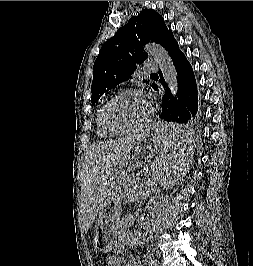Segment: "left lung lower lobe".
I'll use <instances>...</instances> for the list:
<instances>
[{
  "label": "left lung lower lobe",
  "mask_w": 253,
  "mask_h": 266,
  "mask_svg": "<svg viewBox=\"0 0 253 266\" xmlns=\"http://www.w3.org/2000/svg\"><path fill=\"white\" fill-rule=\"evenodd\" d=\"M164 48L171 57L177 71L178 91L177 97H174L166 86L162 73L159 71V82L163 84L166 91L162 97L160 118L164 122H173L171 123L172 129L169 135L172 139L178 140L186 137L188 128L185 125L191 120V116L197 113V86L192 67L180 51L173 34L167 38ZM152 88L157 90L155 84L152 85Z\"/></svg>",
  "instance_id": "left-lung-lower-lobe-1"
}]
</instances>
